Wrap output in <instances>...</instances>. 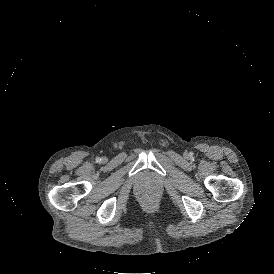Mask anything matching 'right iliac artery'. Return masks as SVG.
Returning <instances> with one entry per match:
<instances>
[{
    "mask_svg": "<svg viewBox=\"0 0 274 274\" xmlns=\"http://www.w3.org/2000/svg\"><path fill=\"white\" fill-rule=\"evenodd\" d=\"M100 161H101V158L97 157V158H96V162L99 163Z\"/></svg>",
    "mask_w": 274,
    "mask_h": 274,
    "instance_id": "obj_1",
    "label": "right iliac artery"
}]
</instances>
